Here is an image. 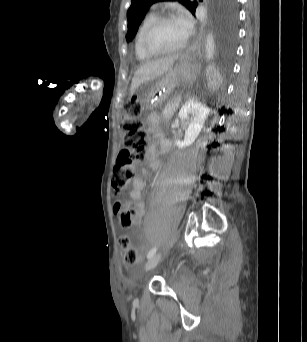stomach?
I'll return each instance as SVG.
<instances>
[{"mask_svg":"<svg viewBox=\"0 0 307 342\" xmlns=\"http://www.w3.org/2000/svg\"><path fill=\"white\" fill-rule=\"evenodd\" d=\"M193 65V58L189 55L176 58L171 68L162 76L143 83L137 89L141 104L154 109L164 101L180 99L194 80Z\"/></svg>","mask_w":307,"mask_h":342,"instance_id":"0dacf381","label":"stomach"}]
</instances>
